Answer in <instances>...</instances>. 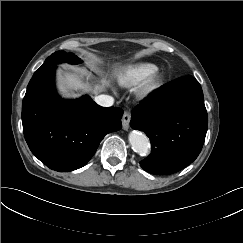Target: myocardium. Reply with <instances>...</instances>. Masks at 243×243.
Segmentation results:
<instances>
[{
    "label": "myocardium",
    "instance_id": "1",
    "mask_svg": "<svg viewBox=\"0 0 243 243\" xmlns=\"http://www.w3.org/2000/svg\"><path fill=\"white\" fill-rule=\"evenodd\" d=\"M163 75L159 72H153L147 78H145L138 89L136 94L140 98H146L156 92L163 82Z\"/></svg>",
    "mask_w": 243,
    "mask_h": 243
}]
</instances>
